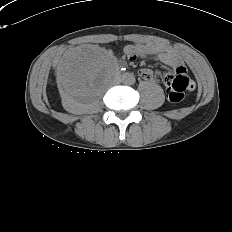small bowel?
Returning a JSON list of instances; mask_svg holds the SVG:
<instances>
[{
  "label": "small bowel",
  "instance_id": "c3829d8e",
  "mask_svg": "<svg viewBox=\"0 0 232 232\" xmlns=\"http://www.w3.org/2000/svg\"><path fill=\"white\" fill-rule=\"evenodd\" d=\"M125 52L134 60L138 55L142 58L153 57L161 63L171 66L175 69L176 74L187 76V70L180 54L171 46L154 42H139L128 45ZM139 75L145 80H152L153 73L151 70L142 68ZM191 85L189 90L195 88V83L189 79Z\"/></svg>",
  "mask_w": 232,
  "mask_h": 232
}]
</instances>
